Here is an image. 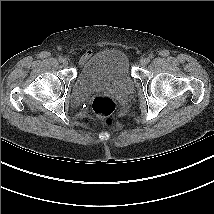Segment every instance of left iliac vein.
<instances>
[{
	"label": "left iliac vein",
	"mask_w": 214,
	"mask_h": 214,
	"mask_svg": "<svg viewBox=\"0 0 214 214\" xmlns=\"http://www.w3.org/2000/svg\"><path fill=\"white\" fill-rule=\"evenodd\" d=\"M148 62H149L148 58H141V59H140V64H141L142 66H145Z\"/></svg>",
	"instance_id": "obj_1"
}]
</instances>
